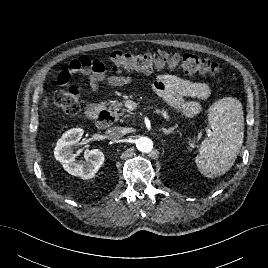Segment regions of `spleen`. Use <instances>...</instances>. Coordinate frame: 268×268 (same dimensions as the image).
<instances>
[{
  "instance_id": "spleen-1",
  "label": "spleen",
  "mask_w": 268,
  "mask_h": 268,
  "mask_svg": "<svg viewBox=\"0 0 268 268\" xmlns=\"http://www.w3.org/2000/svg\"><path fill=\"white\" fill-rule=\"evenodd\" d=\"M212 131L203 140L195 163L208 178L224 175L234 164L244 138L243 107L239 100L224 97L209 108Z\"/></svg>"
}]
</instances>
